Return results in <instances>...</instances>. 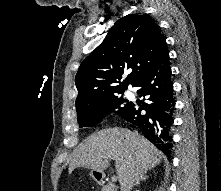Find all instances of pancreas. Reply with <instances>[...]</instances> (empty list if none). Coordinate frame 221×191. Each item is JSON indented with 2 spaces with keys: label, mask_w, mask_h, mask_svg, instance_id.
I'll list each match as a JSON object with an SVG mask.
<instances>
[{
  "label": "pancreas",
  "mask_w": 221,
  "mask_h": 191,
  "mask_svg": "<svg viewBox=\"0 0 221 191\" xmlns=\"http://www.w3.org/2000/svg\"><path fill=\"white\" fill-rule=\"evenodd\" d=\"M101 191H117V188L112 184H107L102 186Z\"/></svg>",
  "instance_id": "obj_1"
}]
</instances>
